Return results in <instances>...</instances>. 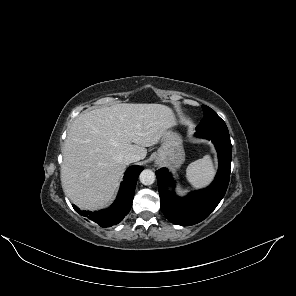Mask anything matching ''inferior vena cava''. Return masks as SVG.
Here are the masks:
<instances>
[{
  "instance_id": "inferior-vena-cava-1",
  "label": "inferior vena cava",
  "mask_w": 296,
  "mask_h": 296,
  "mask_svg": "<svg viewBox=\"0 0 296 296\" xmlns=\"http://www.w3.org/2000/svg\"><path fill=\"white\" fill-rule=\"evenodd\" d=\"M123 160L126 164H130V163L139 161L140 156L135 153L129 152L124 155Z\"/></svg>"
}]
</instances>
